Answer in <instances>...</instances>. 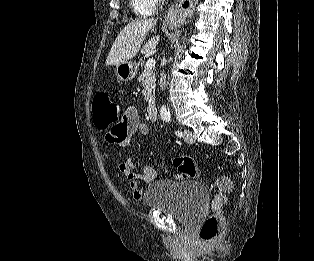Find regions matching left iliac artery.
<instances>
[{"label":"left iliac artery","mask_w":314,"mask_h":261,"mask_svg":"<svg viewBox=\"0 0 314 261\" xmlns=\"http://www.w3.org/2000/svg\"><path fill=\"white\" fill-rule=\"evenodd\" d=\"M167 121L169 122V121H171V120L168 119ZM175 134H176V136H178V137H182V136H183V133H182L181 131H179V130H176V131H175Z\"/></svg>","instance_id":"1"}]
</instances>
